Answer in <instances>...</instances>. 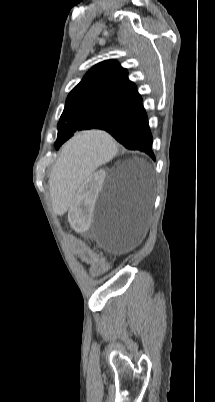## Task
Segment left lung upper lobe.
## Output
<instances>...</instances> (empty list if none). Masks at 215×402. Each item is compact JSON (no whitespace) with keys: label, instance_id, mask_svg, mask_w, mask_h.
Segmentation results:
<instances>
[{"label":"left lung upper lobe","instance_id":"5c2ea615","mask_svg":"<svg viewBox=\"0 0 215 402\" xmlns=\"http://www.w3.org/2000/svg\"><path fill=\"white\" fill-rule=\"evenodd\" d=\"M127 70L114 60L93 66L67 97L58 122V149L78 130L93 129L139 97Z\"/></svg>","mask_w":215,"mask_h":402}]
</instances>
